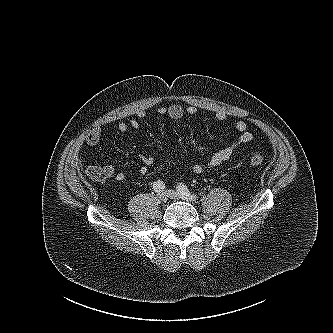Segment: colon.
Instances as JSON below:
<instances>
[{
    "instance_id": "colon-1",
    "label": "colon",
    "mask_w": 333,
    "mask_h": 333,
    "mask_svg": "<svg viewBox=\"0 0 333 333\" xmlns=\"http://www.w3.org/2000/svg\"><path fill=\"white\" fill-rule=\"evenodd\" d=\"M251 165L255 168H259L263 165L264 159L259 153H252L250 156Z\"/></svg>"
}]
</instances>
